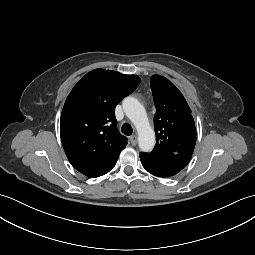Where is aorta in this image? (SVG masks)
Here are the masks:
<instances>
[{
  "instance_id": "obj_1",
  "label": "aorta",
  "mask_w": 255,
  "mask_h": 255,
  "mask_svg": "<svg viewBox=\"0 0 255 255\" xmlns=\"http://www.w3.org/2000/svg\"><path fill=\"white\" fill-rule=\"evenodd\" d=\"M123 110L138 131V145L143 152H150L155 145V133L151 128L144 106L134 97L123 100Z\"/></svg>"
}]
</instances>
